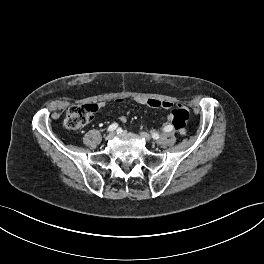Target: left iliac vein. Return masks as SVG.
I'll use <instances>...</instances> for the list:
<instances>
[{
  "label": "left iliac vein",
  "mask_w": 264,
  "mask_h": 264,
  "mask_svg": "<svg viewBox=\"0 0 264 264\" xmlns=\"http://www.w3.org/2000/svg\"><path fill=\"white\" fill-rule=\"evenodd\" d=\"M140 136L144 138L145 140L149 141L151 139L150 135L146 132L140 133Z\"/></svg>",
  "instance_id": "left-iliac-vein-1"
}]
</instances>
